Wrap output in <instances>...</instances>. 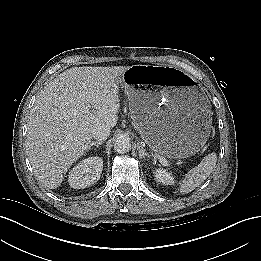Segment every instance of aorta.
I'll return each instance as SVG.
<instances>
[{"mask_svg": "<svg viewBox=\"0 0 261 261\" xmlns=\"http://www.w3.org/2000/svg\"><path fill=\"white\" fill-rule=\"evenodd\" d=\"M131 149V142L128 137L120 136L114 141V150L119 154L129 152Z\"/></svg>", "mask_w": 261, "mask_h": 261, "instance_id": "aorta-1", "label": "aorta"}]
</instances>
